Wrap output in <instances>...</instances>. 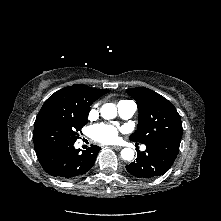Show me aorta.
<instances>
[{
    "label": "aorta",
    "mask_w": 221,
    "mask_h": 221,
    "mask_svg": "<svg viewBox=\"0 0 221 221\" xmlns=\"http://www.w3.org/2000/svg\"><path fill=\"white\" fill-rule=\"evenodd\" d=\"M100 113L104 119H113L117 115V108L113 103H106L101 107ZM121 157L124 160L131 161L134 158L133 149L124 148L121 151Z\"/></svg>",
    "instance_id": "obj_1"
}]
</instances>
